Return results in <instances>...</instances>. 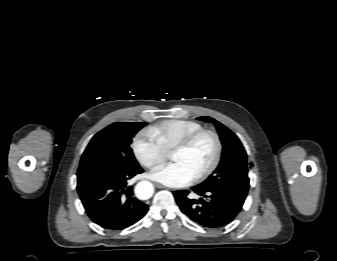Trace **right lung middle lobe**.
Segmentation results:
<instances>
[{
	"mask_svg": "<svg viewBox=\"0 0 337 261\" xmlns=\"http://www.w3.org/2000/svg\"><path fill=\"white\" fill-rule=\"evenodd\" d=\"M146 124L117 122L98 132L82 155L77 190L138 169L130 144Z\"/></svg>",
	"mask_w": 337,
	"mask_h": 261,
	"instance_id": "dd1d6c3e",
	"label": "right lung middle lobe"
}]
</instances>
